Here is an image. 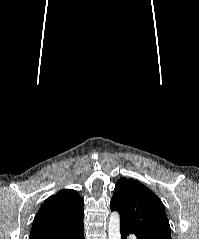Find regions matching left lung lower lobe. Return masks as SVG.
Masks as SVG:
<instances>
[{
  "label": "left lung lower lobe",
  "instance_id": "1",
  "mask_svg": "<svg viewBox=\"0 0 199 239\" xmlns=\"http://www.w3.org/2000/svg\"><path fill=\"white\" fill-rule=\"evenodd\" d=\"M120 232H121V239H127V236L130 233L135 234L128 226L122 223H120ZM137 239H140V238L137 237Z\"/></svg>",
  "mask_w": 199,
  "mask_h": 239
}]
</instances>
